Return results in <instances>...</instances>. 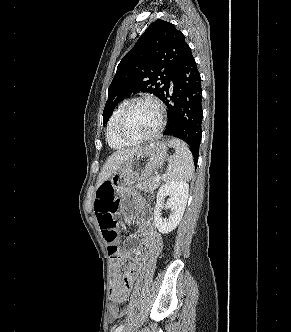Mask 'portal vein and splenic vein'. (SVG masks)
Segmentation results:
<instances>
[{
  "label": "portal vein and splenic vein",
  "instance_id": "18ae733b",
  "mask_svg": "<svg viewBox=\"0 0 291 332\" xmlns=\"http://www.w3.org/2000/svg\"><path fill=\"white\" fill-rule=\"evenodd\" d=\"M160 178H161L160 175H156V177H155V181H156V182H159V181H160Z\"/></svg>",
  "mask_w": 291,
  "mask_h": 332
}]
</instances>
